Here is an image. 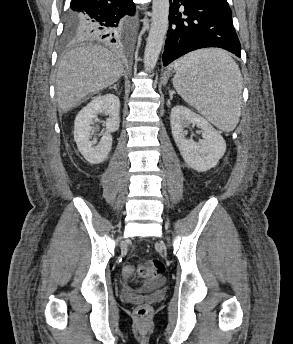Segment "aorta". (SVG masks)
Here are the masks:
<instances>
[{
	"label": "aorta",
	"mask_w": 293,
	"mask_h": 344,
	"mask_svg": "<svg viewBox=\"0 0 293 344\" xmlns=\"http://www.w3.org/2000/svg\"><path fill=\"white\" fill-rule=\"evenodd\" d=\"M169 0H153L152 19L144 51V68L153 71L158 61L169 24Z\"/></svg>",
	"instance_id": "aorta-1"
}]
</instances>
